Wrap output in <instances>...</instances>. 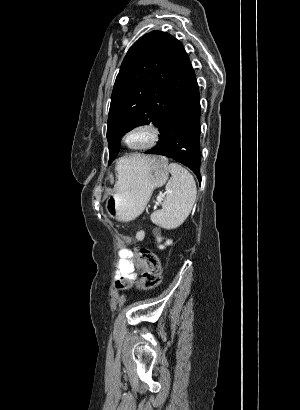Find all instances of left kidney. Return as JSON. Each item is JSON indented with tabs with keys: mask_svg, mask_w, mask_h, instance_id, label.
Masks as SVG:
<instances>
[{
	"mask_svg": "<svg viewBox=\"0 0 300 410\" xmlns=\"http://www.w3.org/2000/svg\"><path fill=\"white\" fill-rule=\"evenodd\" d=\"M154 235H155L157 241L160 242V241H161L160 233H159V232H154ZM170 244H172V241H171V240H168V241H166V244H165V245H170ZM159 248H160V249H164V246H163V245H160Z\"/></svg>",
	"mask_w": 300,
	"mask_h": 410,
	"instance_id": "left-kidney-1",
	"label": "left kidney"
}]
</instances>
